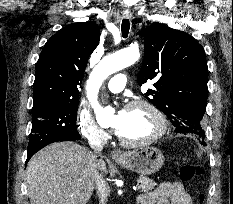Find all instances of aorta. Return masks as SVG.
Here are the masks:
<instances>
[{"label":"aorta","instance_id":"obj_1","mask_svg":"<svg viewBox=\"0 0 233 204\" xmlns=\"http://www.w3.org/2000/svg\"><path fill=\"white\" fill-rule=\"evenodd\" d=\"M139 57L140 53L137 49L128 48L121 50L104 57L90 74L86 86L87 97L100 125L109 123L114 113L112 107L103 108L98 102V92L103 81L111 74L133 65Z\"/></svg>","mask_w":233,"mask_h":204}]
</instances>
